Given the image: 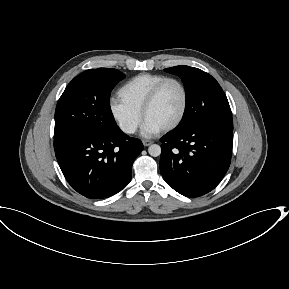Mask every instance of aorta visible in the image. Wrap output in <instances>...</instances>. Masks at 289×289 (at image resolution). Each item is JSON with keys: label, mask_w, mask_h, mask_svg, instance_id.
<instances>
[{"label": "aorta", "mask_w": 289, "mask_h": 289, "mask_svg": "<svg viewBox=\"0 0 289 289\" xmlns=\"http://www.w3.org/2000/svg\"><path fill=\"white\" fill-rule=\"evenodd\" d=\"M148 152L151 156L157 157L161 154V147L157 144H152L149 146Z\"/></svg>", "instance_id": "762f6f07"}]
</instances>
